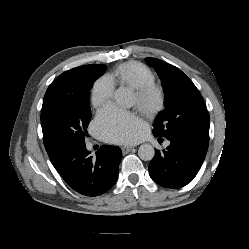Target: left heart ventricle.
<instances>
[{"instance_id":"left-heart-ventricle-1","label":"left heart ventricle","mask_w":249,"mask_h":249,"mask_svg":"<svg viewBox=\"0 0 249 249\" xmlns=\"http://www.w3.org/2000/svg\"><path fill=\"white\" fill-rule=\"evenodd\" d=\"M153 102H154V97L152 96V97H150L148 103H149V104H152ZM136 103H137V99H136V96H135V94H134V95H133V105L136 106Z\"/></svg>"}]
</instances>
